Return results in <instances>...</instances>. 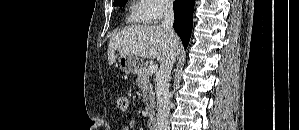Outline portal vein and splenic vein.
I'll return each mask as SVG.
<instances>
[{
	"label": "portal vein and splenic vein",
	"instance_id": "18ae733b",
	"mask_svg": "<svg viewBox=\"0 0 299 130\" xmlns=\"http://www.w3.org/2000/svg\"><path fill=\"white\" fill-rule=\"evenodd\" d=\"M158 69L157 65H150L146 71L147 75H152L153 73H155Z\"/></svg>",
	"mask_w": 299,
	"mask_h": 130
}]
</instances>
